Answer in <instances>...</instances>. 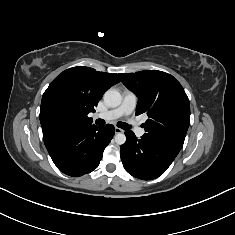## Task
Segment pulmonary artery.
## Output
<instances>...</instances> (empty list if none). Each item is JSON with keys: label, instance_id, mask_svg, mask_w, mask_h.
Here are the masks:
<instances>
[{"label": "pulmonary artery", "instance_id": "1", "mask_svg": "<svg viewBox=\"0 0 235 235\" xmlns=\"http://www.w3.org/2000/svg\"><path fill=\"white\" fill-rule=\"evenodd\" d=\"M136 103V95L131 91H125L120 106L107 112L96 114L95 118L104 120H114L122 116H128L135 109ZM132 127L137 136L140 137L144 134V130L140 128L136 123H133Z\"/></svg>", "mask_w": 235, "mask_h": 235}]
</instances>
